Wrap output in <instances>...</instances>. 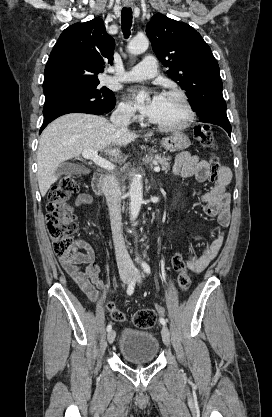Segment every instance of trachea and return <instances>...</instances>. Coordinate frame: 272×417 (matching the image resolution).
<instances>
[{
    "label": "trachea",
    "mask_w": 272,
    "mask_h": 417,
    "mask_svg": "<svg viewBox=\"0 0 272 417\" xmlns=\"http://www.w3.org/2000/svg\"><path fill=\"white\" fill-rule=\"evenodd\" d=\"M121 24L123 29V34L125 37L130 36V28L132 25V9L131 8H123L121 12Z\"/></svg>",
    "instance_id": "1"
}]
</instances>
